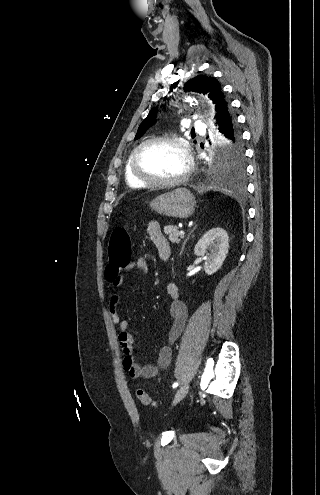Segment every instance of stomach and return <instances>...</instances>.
<instances>
[{"instance_id":"0dacf381","label":"stomach","mask_w":320,"mask_h":495,"mask_svg":"<svg viewBox=\"0 0 320 495\" xmlns=\"http://www.w3.org/2000/svg\"><path fill=\"white\" fill-rule=\"evenodd\" d=\"M195 198L186 188H178L153 199L149 207L164 216L188 218L194 212Z\"/></svg>"}]
</instances>
